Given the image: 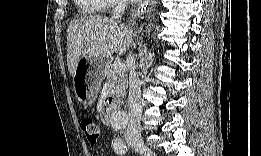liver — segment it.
<instances>
[{
	"instance_id": "6515ba94",
	"label": "liver",
	"mask_w": 261,
	"mask_h": 156,
	"mask_svg": "<svg viewBox=\"0 0 261 156\" xmlns=\"http://www.w3.org/2000/svg\"><path fill=\"white\" fill-rule=\"evenodd\" d=\"M133 41L132 29L103 16H84L71 21L67 29V65L74 77L82 57L109 59L125 54Z\"/></svg>"
}]
</instances>
